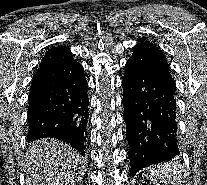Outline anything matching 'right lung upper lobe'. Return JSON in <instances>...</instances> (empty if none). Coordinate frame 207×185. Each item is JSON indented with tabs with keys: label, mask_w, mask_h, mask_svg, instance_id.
Segmentation results:
<instances>
[{
	"label": "right lung upper lobe",
	"mask_w": 207,
	"mask_h": 185,
	"mask_svg": "<svg viewBox=\"0 0 207 185\" xmlns=\"http://www.w3.org/2000/svg\"><path fill=\"white\" fill-rule=\"evenodd\" d=\"M83 71L65 46L53 47L42 58L30 92L47 88L60 80L72 78Z\"/></svg>",
	"instance_id": "cb5924a9"
}]
</instances>
